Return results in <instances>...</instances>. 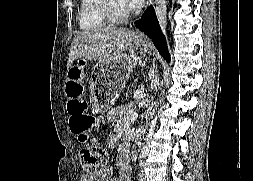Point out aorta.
<instances>
[{
  "mask_svg": "<svg viewBox=\"0 0 253 181\" xmlns=\"http://www.w3.org/2000/svg\"><path fill=\"white\" fill-rule=\"evenodd\" d=\"M156 16L164 36H166L167 30V0H155ZM146 149H149V144H144L141 147L140 157H145Z\"/></svg>",
  "mask_w": 253,
  "mask_h": 181,
  "instance_id": "762f6f07",
  "label": "aorta"
}]
</instances>
